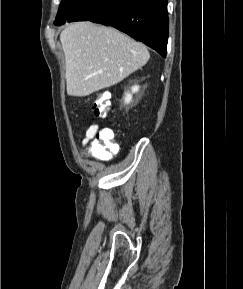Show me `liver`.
<instances>
[{"label":"liver","instance_id":"1","mask_svg":"<svg viewBox=\"0 0 243 289\" xmlns=\"http://www.w3.org/2000/svg\"><path fill=\"white\" fill-rule=\"evenodd\" d=\"M67 94L84 97L113 86L144 66L145 45L112 27L90 22L68 25L60 34Z\"/></svg>","mask_w":243,"mask_h":289}]
</instances>
